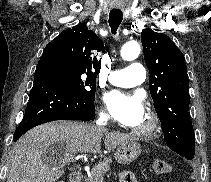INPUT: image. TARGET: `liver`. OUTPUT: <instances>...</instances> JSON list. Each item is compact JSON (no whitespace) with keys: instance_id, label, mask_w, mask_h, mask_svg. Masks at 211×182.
<instances>
[{"instance_id":"obj_1","label":"liver","mask_w":211,"mask_h":182,"mask_svg":"<svg viewBox=\"0 0 211 182\" xmlns=\"http://www.w3.org/2000/svg\"><path fill=\"white\" fill-rule=\"evenodd\" d=\"M102 139L104 153L134 140L128 134L108 132L105 128L80 122L39 125L16 142L10 155L7 182H55L64 174L66 161L63 158L45 160L43 156L49 147L60 143L64 157L67 153L102 155Z\"/></svg>"}]
</instances>
